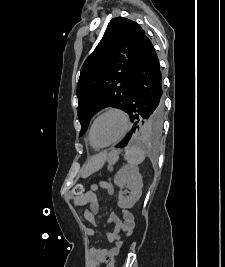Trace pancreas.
Here are the masks:
<instances>
[{"instance_id":"obj_1","label":"pancreas","mask_w":225,"mask_h":267,"mask_svg":"<svg viewBox=\"0 0 225 267\" xmlns=\"http://www.w3.org/2000/svg\"><path fill=\"white\" fill-rule=\"evenodd\" d=\"M115 163V160H111V161H109V164L110 165H112V164H114ZM110 170H112V168L110 167Z\"/></svg>"}]
</instances>
